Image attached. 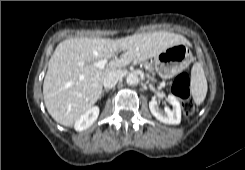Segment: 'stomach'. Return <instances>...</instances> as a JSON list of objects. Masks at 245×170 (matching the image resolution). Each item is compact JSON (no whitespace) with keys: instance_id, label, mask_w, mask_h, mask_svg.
Instances as JSON below:
<instances>
[{"instance_id":"1","label":"stomach","mask_w":245,"mask_h":170,"mask_svg":"<svg viewBox=\"0 0 245 170\" xmlns=\"http://www.w3.org/2000/svg\"><path fill=\"white\" fill-rule=\"evenodd\" d=\"M193 57L186 44H177L156 55L153 60L156 73L163 79L172 78L185 70Z\"/></svg>"}]
</instances>
